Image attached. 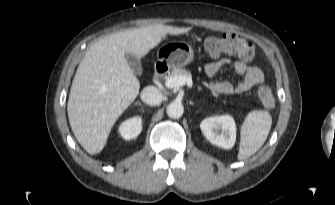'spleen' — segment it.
I'll return each instance as SVG.
<instances>
[{
	"mask_svg": "<svg viewBox=\"0 0 335 205\" xmlns=\"http://www.w3.org/2000/svg\"><path fill=\"white\" fill-rule=\"evenodd\" d=\"M271 125L272 117L268 111L254 110L246 116L240 132L239 160L252 156L262 147Z\"/></svg>",
	"mask_w": 335,
	"mask_h": 205,
	"instance_id": "3e777b00",
	"label": "spleen"
}]
</instances>
